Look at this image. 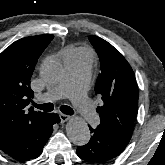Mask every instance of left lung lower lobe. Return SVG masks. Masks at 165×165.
Returning a JSON list of instances; mask_svg holds the SVG:
<instances>
[{
    "label": "left lung lower lobe",
    "mask_w": 165,
    "mask_h": 165,
    "mask_svg": "<svg viewBox=\"0 0 165 165\" xmlns=\"http://www.w3.org/2000/svg\"><path fill=\"white\" fill-rule=\"evenodd\" d=\"M89 129L92 133L90 141L78 147L77 155L91 163H103L117 157L130 141V138L101 125L95 129L89 125Z\"/></svg>",
    "instance_id": "0a47b994"
}]
</instances>
